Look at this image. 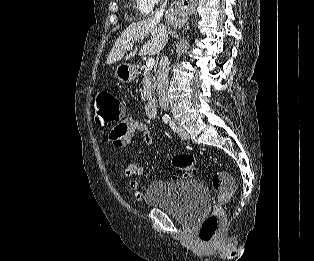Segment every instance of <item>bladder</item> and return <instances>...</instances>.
<instances>
[{
  "label": "bladder",
  "instance_id": "1",
  "mask_svg": "<svg viewBox=\"0 0 314 261\" xmlns=\"http://www.w3.org/2000/svg\"><path fill=\"white\" fill-rule=\"evenodd\" d=\"M146 203L165 211L185 225H194L208 207V189L199 180L154 181L147 188Z\"/></svg>",
  "mask_w": 314,
  "mask_h": 261
}]
</instances>
